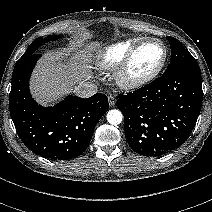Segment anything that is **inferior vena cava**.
Listing matches in <instances>:
<instances>
[{
  "label": "inferior vena cava",
  "instance_id": "obj_1",
  "mask_svg": "<svg viewBox=\"0 0 212 212\" xmlns=\"http://www.w3.org/2000/svg\"><path fill=\"white\" fill-rule=\"evenodd\" d=\"M98 91V87L93 82H84L78 85L74 92L81 98H89L96 94Z\"/></svg>",
  "mask_w": 212,
  "mask_h": 212
}]
</instances>
